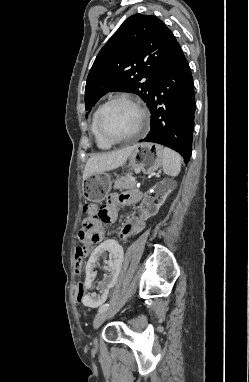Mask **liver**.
<instances>
[{
	"label": "liver",
	"mask_w": 249,
	"mask_h": 382,
	"mask_svg": "<svg viewBox=\"0 0 249 382\" xmlns=\"http://www.w3.org/2000/svg\"><path fill=\"white\" fill-rule=\"evenodd\" d=\"M132 151L133 146L91 156L85 165L83 180H85L92 173L105 172L120 167L125 163Z\"/></svg>",
	"instance_id": "6515ba94"
}]
</instances>
